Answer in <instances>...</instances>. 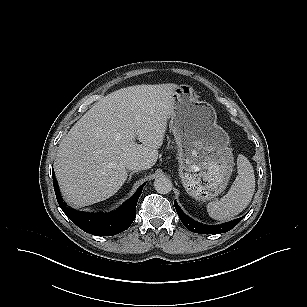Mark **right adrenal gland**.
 <instances>
[{
    "label": "right adrenal gland",
    "mask_w": 307,
    "mask_h": 307,
    "mask_svg": "<svg viewBox=\"0 0 307 307\" xmlns=\"http://www.w3.org/2000/svg\"><path fill=\"white\" fill-rule=\"evenodd\" d=\"M136 171H133L129 174V178H128V182H130L131 178H132V175L135 173Z\"/></svg>",
    "instance_id": "2a0ac1e0"
}]
</instances>
